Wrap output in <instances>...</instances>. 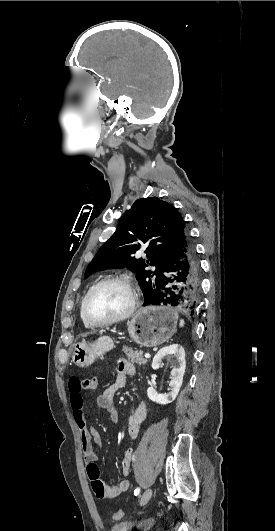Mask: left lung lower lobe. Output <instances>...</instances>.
Returning <instances> with one entry per match:
<instances>
[{
	"instance_id": "left-lung-lower-lobe-1",
	"label": "left lung lower lobe",
	"mask_w": 275,
	"mask_h": 531,
	"mask_svg": "<svg viewBox=\"0 0 275 531\" xmlns=\"http://www.w3.org/2000/svg\"><path fill=\"white\" fill-rule=\"evenodd\" d=\"M166 274L164 287L157 299L148 305L173 306L194 315L201 296L200 265L187 230L180 236L169 257Z\"/></svg>"
}]
</instances>
